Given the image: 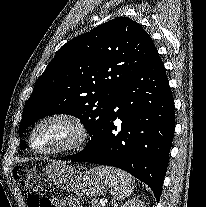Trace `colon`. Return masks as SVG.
I'll list each match as a JSON object with an SVG mask.
<instances>
[{
	"mask_svg": "<svg viewBox=\"0 0 206 207\" xmlns=\"http://www.w3.org/2000/svg\"><path fill=\"white\" fill-rule=\"evenodd\" d=\"M14 176L19 182L23 193L27 195L29 207H53L50 199L37 194L39 180L31 171L24 167H16L14 169Z\"/></svg>",
	"mask_w": 206,
	"mask_h": 207,
	"instance_id": "5ec220e1",
	"label": "colon"
}]
</instances>
